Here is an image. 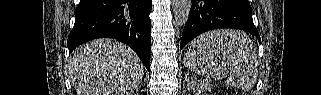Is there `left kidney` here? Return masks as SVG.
Listing matches in <instances>:
<instances>
[{"label": "left kidney", "instance_id": "1", "mask_svg": "<svg viewBox=\"0 0 321 95\" xmlns=\"http://www.w3.org/2000/svg\"><path fill=\"white\" fill-rule=\"evenodd\" d=\"M205 90H206V88H202V87H198V88H196V89H194V94L195 95H201V94H203L204 92H205Z\"/></svg>", "mask_w": 321, "mask_h": 95}]
</instances>
